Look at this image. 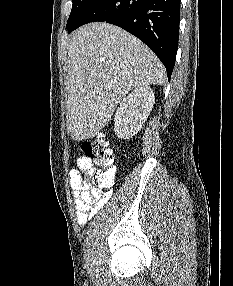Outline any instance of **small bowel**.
Here are the masks:
<instances>
[{
  "label": "small bowel",
  "mask_w": 233,
  "mask_h": 286,
  "mask_svg": "<svg viewBox=\"0 0 233 286\" xmlns=\"http://www.w3.org/2000/svg\"><path fill=\"white\" fill-rule=\"evenodd\" d=\"M77 168L69 171V185L72 189L76 219L80 224L86 223L109 200L110 191L94 187L88 177L92 163L85 157L77 159ZM116 171L115 167L113 168Z\"/></svg>",
  "instance_id": "1"
}]
</instances>
